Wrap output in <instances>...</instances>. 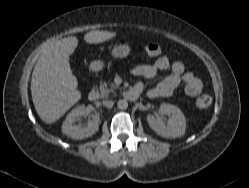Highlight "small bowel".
I'll return each instance as SVG.
<instances>
[{
	"mask_svg": "<svg viewBox=\"0 0 249 188\" xmlns=\"http://www.w3.org/2000/svg\"><path fill=\"white\" fill-rule=\"evenodd\" d=\"M169 71L170 74L159 84L150 86L146 95L150 99H159L171 95L179 86L184 87V92L189 97H195L202 90V82L193 73L186 71L180 61L171 62L168 57L161 56L152 65H140L131 69V72L144 80H152L161 71ZM142 92L144 84L138 82L134 87Z\"/></svg>",
	"mask_w": 249,
	"mask_h": 188,
	"instance_id": "small-bowel-1",
	"label": "small bowel"
}]
</instances>
